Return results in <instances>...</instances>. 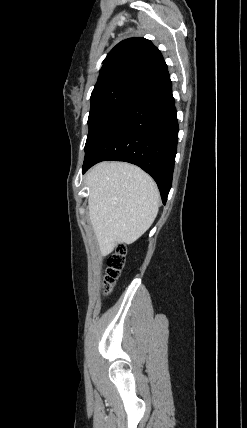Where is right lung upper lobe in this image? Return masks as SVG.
Masks as SVG:
<instances>
[{
    "instance_id": "right-lung-upper-lobe-1",
    "label": "right lung upper lobe",
    "mask_w": 247,
    "mask_h": 428,
    "mask_svg": "<svg viewBox=\"0 0 247 428\" xmlns=\"http://www.w3.org/2000/svg\"><path fill=\"white\" fill-rule=\"evenodd\" d=\"M103 63L92 94L114 88L140 93L168 74L160 51L144 38L121 41Z\"/></svg>"
}]
</instances>
